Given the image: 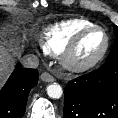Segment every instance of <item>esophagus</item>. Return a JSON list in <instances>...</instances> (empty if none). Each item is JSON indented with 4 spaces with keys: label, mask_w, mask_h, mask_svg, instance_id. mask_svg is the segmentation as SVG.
Returning <instances> with one entry per match:
<instances>
[{
    "label": "esophagus",
    "mask_w": 118,
    "mask_h": 118,
    "mask_svg": "<svg viewBox=\"0 0 118 118\" xmlns=\"http://www.w3.org/2000/svg\"><path fill=\"white\" fill-rule=\"evenodd\" d=\"M41 79L44 81V82H53L54 81V77L48 73V72H44L41 74Z\"/></svg>",
    "instance_id": "esophagus-1"
}]
</instances>
